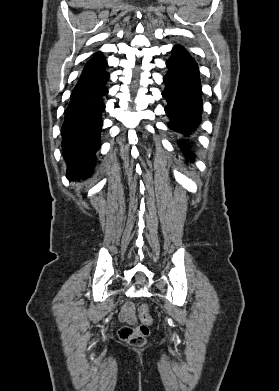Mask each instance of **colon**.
Segmentation results:
<instances>
[{
	"label": "colon",
	"instance_id": "1",
	"mask_svg": "<svg viewBox=\"0 0 279 391\" xmlns=\"http://www.w3.org/2000/svg\"><path fill=\"white\" fill-rule=\"evenodd\" d=\"M140 317L142 323L136 327L122 326L118 330V337L133 346H143L146 342V338L150 333L149 326L152 323V317L149 313L148 306L143 304L140 307Z\"/></svg>",
	"mask_w": 279,
	"mask_h": 391
}]
</instances>
